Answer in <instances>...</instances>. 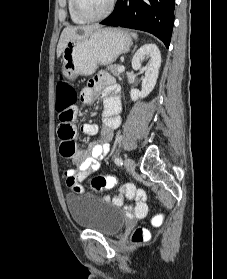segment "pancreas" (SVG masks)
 Wrapping results in <instances>:
<instances>
[{
    "instance_id": "obj_1",
    "label": "pancreas",
    "mask_w": 227,
    "mask_h": 279,
    "mask_svg": "<svg viewBox=\"0 0 227 279\" xmlns=\"http://www.w3.org/2000/svg\"><path fill=\"white\" fill-rule=\"evenodd\" d=\"M118 67H119L118 64H114V65L110 64V65L106 66L107 70L110 71V73H112L114 76H117V77L121 74V72H119L117 70Z\"/></svg>"
}]
</instances>
